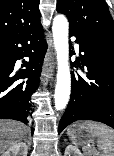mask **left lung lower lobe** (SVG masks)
Segmentation results:
<instances>
[{
    "instance_id": "left-lung-lower-lobe-1",
    "label": "left lung lower lobe",
    "mask_w": 114,
    "mask_h": 156,
    "mask_svg": "<svg viewBox=\"0 0 114 156\" xmlns=\"http://www.w3.org/2000/svg\"><path fill=\"white\" fill-rule=\"evenodd\" d=\"M79 43L80 67L84 76L73 74L70 102L58 132L77 120H94L114 128V54L97 43L70 31ZM82 53V54H81Z\"/></svg>"
}]
</instances>
